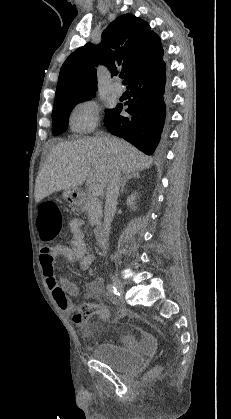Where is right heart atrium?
<instances>
[{"label": "right heart atrium", "mask_w": 231, "mask_h": 419, "mask_svg": "<svg viewBox=\"0 0 231 419\" xmlns=\"http://www.w3.org/2000/svg\"><path fill=\"white\" fill-rule=\"evenodd\" d=\"M100 118V105L93 98H87L78 102L71 113L70 125L80 134L92 131Z\"/></svg>", "instance_id": "obj_1"}]
</instances>
